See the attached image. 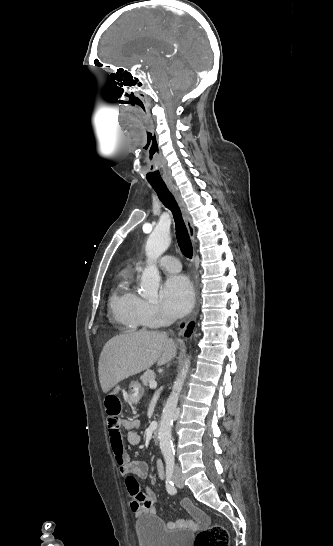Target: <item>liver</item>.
<instances>
[{
  "instance_id": "1",
  "label": "liver",
  "mask_w": 333,
  "mask_h": 546,
  "mask_svg": "<svg viewBox=\"0 0 333 546\" xmlns=\"http://www.w3.org/2000/svg\"><path fill=\"white\" fill-rule=\"evenodd\" d=\"M177 347L165 333L141 331L110 339L99 358V381L107 393L120 381L157 363L162 366L176 356Z\"/></svg>"
}]
</instances>
